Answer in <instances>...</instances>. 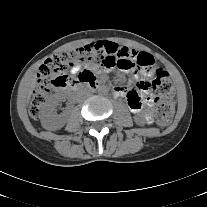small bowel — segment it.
<instances>
[{
    "mask_svg": "<svg viewBox=\"0 0 207 207\" xmlns=\"http://www.w3.org/2000/svg\"><path fill=\"white\" fill-rule=\"evenodd\" d=\"M78 66H73L70 70L72 74H76L79 71ZM131 75V83L129 87L115 86L113 88V94L116 97L125 98L130 110L133 113L143 112V118L146 122L150 123L153 119V98L149 94L147 87L148 78L152 75L151 71H142L141 75L145 78L144 80H138V69H129Z\"/></svg>",
    "mask_w": 207,
    "mask_h": 207,
    "instance_id": "small-bowel-1",
    "label": "small bowel"
}]
</instances>
